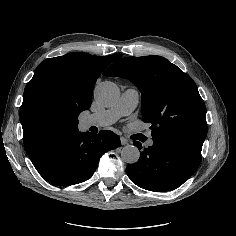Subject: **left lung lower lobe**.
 <instances>
[{
    "instance_id": "1",
    "label": "left lung lower lobe",
    "mask_w": 236,
    "mask_h": 236,
    "mask_svg": "<svg viewBox=\"0 0 236 236\" xmlns=\"http://www.w3.org/2000/svg\"><path fill=\"white\" fill-rule=\"evenodd\" d=\"M141 150L139 160L128 165L126 172L137 186L165 192L181 186L198 168L201 150L166 137H153V145Z\"/></svg>"
}]
</instances>
